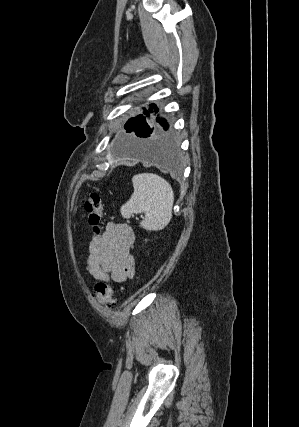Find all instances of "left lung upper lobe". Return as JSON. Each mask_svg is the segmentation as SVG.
<instances>
[{"mask_svg":"<svg viewBox=\"0 0 299 427\" xmlns=\"http://www.w3.org/2000/svg\"><path fill=\"white\" fill-rule=\"evenodd\" d=\"M152 107L154 108L155 112L158 111L156 106L154 104L151 105V109L149 111H145L144 114L152 113ZM154 126V122H150L147 120L143 115H138L134 118H131L126 124L125 129L127 132H135V134L139 137H145V134L148 132V130Z\"/></svg>","mask_w":299,"mask_h":427,"instance_id":"obj_1","label":"left lung upper lobe"}]
</instances>
